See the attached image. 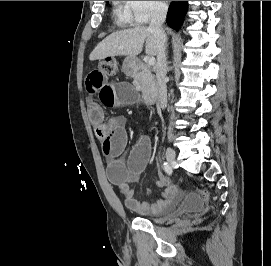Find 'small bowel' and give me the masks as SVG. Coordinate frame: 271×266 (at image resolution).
Instances as JSON below:
<instances>
[{"mask_svg": "<svg viewBox=\"0 0 271 266\" xmlns=\"http://www.w3.org/2000/svg\"><path fill=\"white\" fill-rule=\"evenodd\" d=\"M86 89L90 95L98 94L100 103L90 100L88 117L94 134L102 144L108 157L107 173L109 181L124 196L125 205L139 214H154L176 205L181 197L179 189L162 173L158 174L157 185L162 188L161 199L156 202L141 201L134 198L132 184L139 180L150 154V142L140 139L130 151L127 160L121 155L127 144L126 119L123 116L104 120L102 105L119 107L134 104L138 97L128 82H111L109 76L96 68L89 72Z\"/></svg>", "mask_w": 271, "mask_h": 266, "instance_id": "c3829d8e", "label": "small bowel"}]
</instances>
